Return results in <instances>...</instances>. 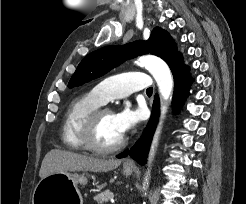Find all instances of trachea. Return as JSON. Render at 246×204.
I'll use <instances>...</instances> for the list:
<instances>
[{
    "label": "trachea",
    "mask_w": 246,
    "mask_h": 204,
    "mask_svg": "<svg viewBox=\"0 0 246 204\" xmlns=\"http://www.w3.org/2000/svg\"><path fill=\"white\" fill-rule=\"evenodd\" d=\"M152 92H153V88H148V89L146 90V93H147V94H152Z\"/></svg>",
    "instance_id": "3493384b"
}]
</instances>
